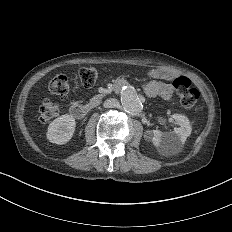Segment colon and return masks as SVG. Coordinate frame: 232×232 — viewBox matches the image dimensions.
<instances>
[{
    "instance_id": "colon-1",
    "label": "colon",
    "mask_w": 232,
    "mask_h": 232,
    "mask_svg": "<svg viewBox=\"0 0 232 232\" xmlns=\"http://www.w3.org/2000/svg\"><path fill=\"white\" fill-rule=\"evenodd\" d=\"M76 73L81 75V84L85 88H90L94 84V79L97 78L96 68L92 64H87L84 68H76ZM53 79L56 81H47L50 93L71 92V84H63V82H71V77L68 74H53ZM177 91H181L180 100L182 107H191L192 111H201L202 107L197 106L196 99L199 96V91L194 87L193 83L185 76H180L176 80ZM36 102L40 108L39 121H50L51 117H62V112L57 106H52L51 102H47L46 98H37Z\"/></svg>"
}]
</instances>
